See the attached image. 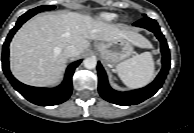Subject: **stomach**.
Returning <instances> with one entry per match:
<instances>
[{"label":"stomach","mask_w":194,"mask_h":133,"mask_svg":"<svg viewBox=\"0 0 194 133\" xmlns=\"http://www.w3.org/2000/svg\"><path fill=\"white\" fill-rule=\"evenodd\" d=\"M95 49L108 64H116L133 54L132 44L126 39L95 43Z\"/></svg>","instance_id":"0dacf381"}]
</instances>
